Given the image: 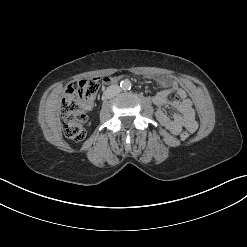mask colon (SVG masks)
I'll return each mask as SVG.
<instances>
[{
  "label": "colon",
  "mask_w": 247,
  "mask_h": 247,
  "mask_svg": "<svg viewBox=\"0 0 247 247\" xmlns=\"http://www.w3.org/2000/svg\"><path fill=\"white\" fill-rule=\"evenodd\" d=\"M99 87L96 78L80 80L76 85L68 86L60 103L64 132L68 139L81 141L86 137L84 124L87 116L84 111V104L96 96ZM189 136L188 130H184L180 134L182 140L188 139Z\"/></svg>",
  "instance_id": "obj_1"
}]
</instances>
